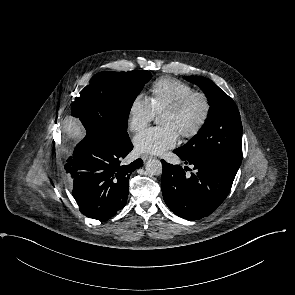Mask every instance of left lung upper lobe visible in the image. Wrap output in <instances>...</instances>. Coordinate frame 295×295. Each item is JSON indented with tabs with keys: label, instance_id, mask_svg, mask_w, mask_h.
<instances>
[{
	"label": "left lung upper lobe",
	"instance_id": "obj_1",
	"mask_svg": "<svg viewBox=\"0 0 295 295\" xmlns=\"http://www.w3.org/2000/svg\"><path fill=\"white\" fill-rule=\"evenodd\" d=\"M186 80L203 90L210 108L199 132L176 150L185 158H210L238 171L242 160V123L236 104L207 78L189 76Z\"/></svg>",
	"mask_w": 295,
	"mask_h": 295
}]
</instances>
